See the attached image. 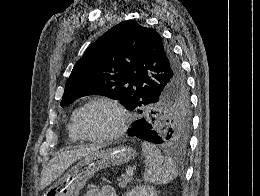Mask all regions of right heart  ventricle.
Wrapping results in <instances>:
<instances>
[{
    "instance_id": "right-heart-ventricle-1",
    "label": "right heart ventricle",
    "mask_w": 260,
    "mask_h": 196,
    "mask_svg": "<svg viewBox=\"0 0 260 196\" xmlns=\"http://www.w3.org/2000/svg\"><path fill=\"white\" fill-rule=\"evenodd\" d=\"M75 112H73L72 116H71V120L70 123L68 125V134H69V138L71 141L73 142H79L80 140H82L79 132L77 131V129L75 128L74 125V117H75Z\"/></svg>"
}]
</instances>
